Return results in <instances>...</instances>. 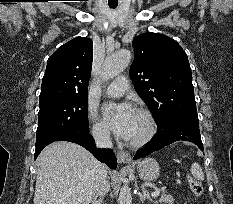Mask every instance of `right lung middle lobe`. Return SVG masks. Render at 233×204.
<instances>
[{"mask_svg":"<svg viewBox=\"0 0 233 204\" xmlns=\"http://www.w3.org/2000/svg\"><path fill=\"white\" fill-rule=\"evenodd\" d=\"M36 145L69 132H85L88 97L52 98L40 101Z\"/></svg>","mask_w":233,"mask_h":204,"instance_id":"right-lung-middle-lobe-1","label":"right lung middle lobe"}]
</instances>
